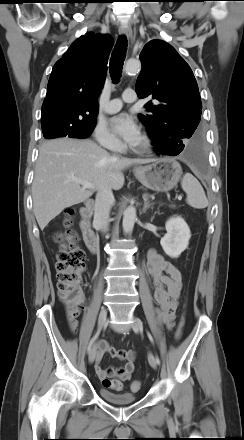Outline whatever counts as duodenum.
I'll list each match as a JSON object with an SVG mask.
<instances>
[{"label": "duodenum", "instance_id": "obj_1", "mask_svg": "<svg viewBox=\"0 0 244 440\" xmlns=\"http://www.w3.org/2000/svg\"><path fill=\"white\" fill-rule=\"evenodd\" d=\"M94 202L89 200L85 206L80 210L81 221L80 228L82 231L83 239L92 253H96L98 249V237L91 227V217L93 215Z\"/></svg>", "mask_w": 244, "mask_h": 440}]
</instances>
